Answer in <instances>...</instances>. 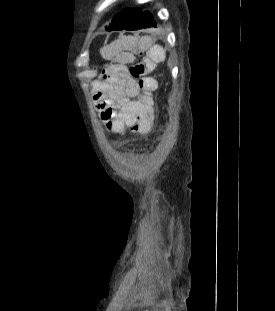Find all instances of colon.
Listing matches in <instances>:
<instances>
[{
    "mask_svg": "<svg viewBox=\"0 0 275 311\" xmlns=\"http://www.w3.org/2000/svg\"><path fill=\"white\" fill-rule=\"evenodd\" d=\"M152 57H143L140 61L130 66V75L138 81L139 92L144 97H151L156 89V84L153 78L148 77L147 73L153 67L155 62H152ZM107 128L110 131L126 130L128 119L127 118H112L106 119ZM145 134V133H141Z\"/></svg>",
    "mask_w": 275,
    "mask_h": 311,
    "instance_id": "obj_1",
    "label": "colon"
}]
</instances>
